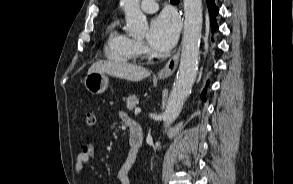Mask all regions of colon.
Here are the masks:
<instances>
[{"instance_id":"5ec220e1","label":"colon","mask_w":293,"mask_h":184,"mask_svg":"<svg viewBox=\"0 0 293 184\" xmlns=\"http://www.w3.org/2000/svg\"><path fill=\"white\" fill-rule=\"evenodd\" d=\"M86 123L88 126H94L96 123V116L92 111L86 113Z\"/></svg>"}]
</instances>
